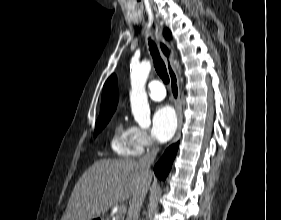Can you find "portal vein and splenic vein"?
Masks as SVG:
<instances>
[{
	"label": "portal vein and splenic vein",
	"mask_w": 281,
	"mask_h": 220,
	"mask_svg": "<svg viewBox=\"0 0 281 220\" xmlns=\"http://www.w3.org/2000/svg\"><path fill=\"white\" fill-rule=\"evenodd\" d=\"M126 211V207L125 206H120L119 207V212L120 213H123V212H125Z\"/></svg>",
	"instance_id": "obj_1"
}]
</instances>
